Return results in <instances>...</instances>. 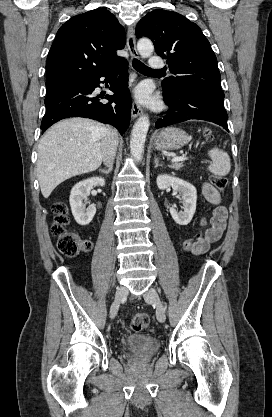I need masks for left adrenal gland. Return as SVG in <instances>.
Masks as SVG:
<instances>
[{
	"instance_id": "left-adrenal-gland-1",
	"label": "left adrenal gland",
	"mask_w": 272,
	"mask_h": 417,
	"mask_svg": "<svg viewBox=\"0 0 272 417\" xmlns=\"http://www.w3.org/2000/svg\"><path fill=\"white\" fill-rule=\"evenodd\" d=\"M154 163H155V169L157 168V167H162V164H159V159L158 158H154Z\"/></svg>"
}]
</instances>
